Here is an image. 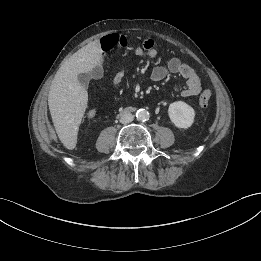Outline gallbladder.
<instances>
[{"instance_id": "1", "label": "gallbladder", "mask_w": 261, "mask_h": 261, "mask_svg": "<svg viewBox=\"0 0 261 261\" xmlns=\"http://www.w3.org/2000/svg\"><path fill=\"white\" fill-rule=\"evenodd\" d=\"M77 79L83 87H87L89 85L90 80H91V73H80L77 76Z\"/></svg>"}]
</instances>
